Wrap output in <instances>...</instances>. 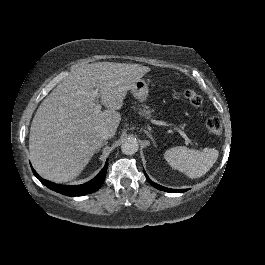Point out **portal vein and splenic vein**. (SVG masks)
<instances>
[{
	"instance_id": "18ae733b",
	"label": "portal vein and splenic vein",
	"mask_w": 265,
	"mask_h": 265,
	"mask_svg": "<svg viewBox=\"0 0 265 265\" xmlns=\"http://www.w3.org/2000/svg\"><path fill=\"white\" fill-rule=\"evenodd\" d=\"M94 94L97 95V91H95ZM100 108H101V105H96V107L93 109V113L94 114H98L100 112ZM151 122H153L154 124H160V125L172 127L175 130H177L178 133L181 134V136L183 138H185V141L186 142H189L190 141V138L187 137V133L186 132H183V129L182 128H179L178 126H175L174 124L166 123L165 120H160L159 121L158 119H152Z\"/></svg>"
}]
</instances>
